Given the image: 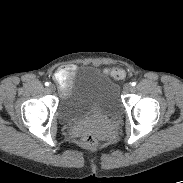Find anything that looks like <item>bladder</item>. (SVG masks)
Returning <instances> with one entry per match:
<instances>
[{
  "label": "bladder",
  "instance_id": "obj_1",
  "mask_svg": "<svg viewBox=\"0 0 183 183\" xmlns=\"http://www.w3.org/2000/svg\"><path fill=\"white\" fill-rule=\"evenodd\" d=\"M60 113L67 121L90 117L116 119L122 111L118 87L108 76L93 70L86 82L62 95Z\"/></svg>",
  "mask_w": 183,
  "mask_h": 183
}]
</instances>
